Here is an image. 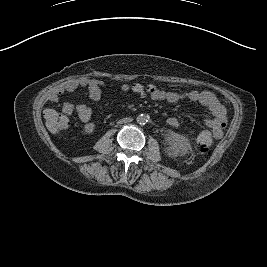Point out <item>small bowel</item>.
<instances>
[{"label": "small bowel", "mask_w": 267, "mask_h": 267, "mask_svg": "<svg viewBox=\"0 0 267 267\" xmlns=\"http://www.w3.org/2000/svg\"><path fill=\"white\" fill-rule=\"evenodd\" d=\"M79 87L86 88L88 97L93 101H98L102 96V89L105 87V84L98 79L81 78L79 80H74L69 82L65 88L53 98V100L57 101L60 94L74 91ZM138 93L141 97L147 96L143 91H139ZM149 97L153 100H165L170 103H179L183 100H187L207 108L211 113V117L204 119L203 123L209 128V131H203L200 135L206 136L211 144L213 143V140L222 137L227 124L226 109L213 93L198 90H189L183 93L178 91H159ZM62 111L65 114L76 112L80 121L84 123V133L90 134L94 131L95 125L91 122L92 109L88 105L84 103L73 104L65 102L63 103ZM167 123L174 128H177L180 125L179 120L175 117H169Z\"/></svg>", "instance_id": "1"}]
</instances>
